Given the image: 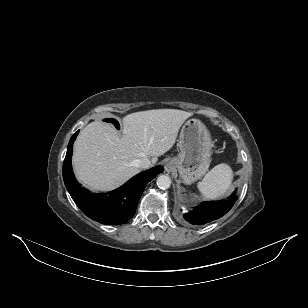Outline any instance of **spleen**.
<instances>
[{
    "mask_svg": "<svg viewBox=\"0 0 308 308\" xmlns=\"http://www.w3.org/2000/svg\"><path fill=\"white\" fill-rule=\"evenodd\" d=\"M233 181V171L225 163L216 165L209 171L197 187L207 199H217L224 196L230 189Z\"/></svg>",
    "mask_w": 308,
    "mask_h": 308,
    "instance_id": "obj_1",
    "label": "spleen"
}]
</instances>
